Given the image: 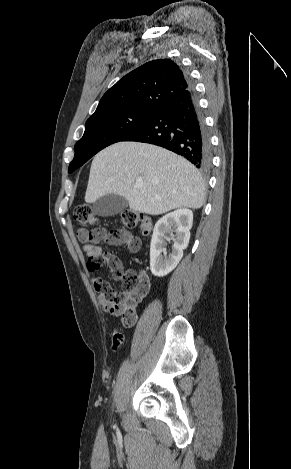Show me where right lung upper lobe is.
<instances>
[{"label": "right lung upper lobe", "mask_w": 291, "mask_h": 469, "mask_svg": "<svg viewBox=\"0 0 291 469\" xmlns=\"http://www.w3.org/2000/svg\"><path fill=\"white\" fill-rule=\"evenodd\" d=\"M188 78L170 59L150 61L125 75L101 98L89 118L113 115L125 110H155L163 101L188 88Z\"/></svg>", "instance_id": "obj_1"}]
</instances>
